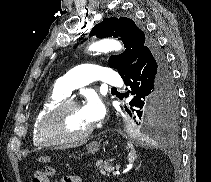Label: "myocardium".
<instances>
[{
    "mask_svg": "<svg viewBox=\"0 0 211 182\" xmlns=\"http://www.w3.org/2000/svg\"><path fill=\"white\" fill-rule=\"evenodd\" d=\"M70 107L80 108V105L70 99H64L50 109L41 119L37 135L39 141L45 146H56L63 144H78L86 141L93 132V127L90 126L82 135L77 137H57L51 132V125L54 120Z\"/></svg>",
    "mask_w": 211,
    "mask_h": 182,
    "instance_id": "myocardium-1",
    "label": "myocardium"
}]
</instances>
